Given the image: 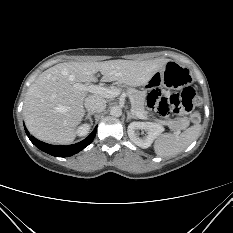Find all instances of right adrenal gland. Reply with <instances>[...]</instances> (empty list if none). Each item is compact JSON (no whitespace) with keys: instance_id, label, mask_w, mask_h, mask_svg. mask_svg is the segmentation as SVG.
<instances>
[{"instance_id":"obj_1","label":"right adrenal gland","mask_w":233,"mask_h":233,"mask_svg":"<svg viewBox=\"0 0 233 233\" xmlns=\"http://www.w3.org/2000/svg\"><path fill=\"white\" fill-rule=\"evenodd\" d=\"M93 114H94V113L89 112V113L85 116V118L88 119V120L90 121V123H92L91 115H93Z\"/></svg>"}]
</instances>
